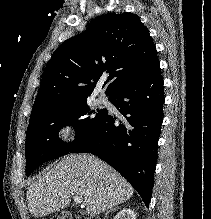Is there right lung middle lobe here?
<instances>
[{
	"label": "right lung middle lobe",
	"mask_w": 211,
	"mask_h": 219,
	"mask_svg": "<svg viewBox=\"0 0 211 219\" xmlns=\"http://www.w3.org/2000/svg\"><path fill=\"white\" fill-rule=\"evenodd\" d=\"M106 112V109L91 111L86 98L30 119L25 143L26 175L44 162L68 154L96 127ZM93 113L96 114L94 118L85 117ZM66 125H72L77 131L71 143H64L58 137L59 129Z\"/></svg>",
	"instance_id": "obj_1"
}]
</instances>
